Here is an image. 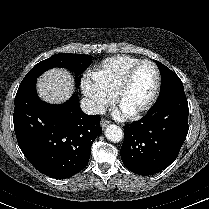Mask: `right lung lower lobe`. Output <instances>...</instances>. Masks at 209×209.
<instances>
[{
    "label": "right lung lower lobe",
    "instance_id": "obj_1",
    "mask_svg": "<svg viewBox=\"0 0 209 209\" xmlns=\"http://www.w3.org/2000/svg\"><path fill=\"white\" fill-rule=\"evenodd\" d=\"M36 79L20 86L13 115L18 145L42 174L68 178L87 166L91 146L102 133L100 117L85 114L74 95L60 105L41 101Z\"/></svg>",
    "mask_w": 209,
    "mask_h": 209
}]
</instances>
